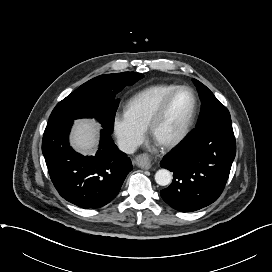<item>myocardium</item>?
Returning a JSON list of instances; mask_svg holds the SVG:
<instances>
[{"mask_svg": "<svg viewBox=\"0 0 272 272\" xmlns=\"http://www.w3.org/2000/svg\"><path fill=\"white\" fill-rule=\"evenodd\" d=\"M180 91H188L191 94L193 99V107L185 125L183 126L182 130L176 137L166 142H161V143L157 142V144L163 149H173L177 147L179 144H181L189 135L197 116L198 98L196 93L194 92L192 88L188 86H178L174 90H172L169 94L166 95V97L162 100L157 110L153 114L147 127L150 137L154 140V134H155V130L157 126L159 125L161 120L164 118L172 99Z\"/></svg>", "mask_w": 272, "mask_h": 272, "instance_id": "1", "label": "myocardium"}]
</instances>
